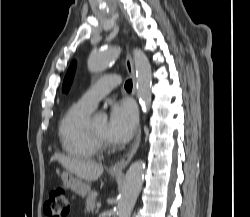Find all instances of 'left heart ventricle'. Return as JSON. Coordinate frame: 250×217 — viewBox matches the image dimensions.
Returning a JSON list of instances; mask_svg holds the SVG:
<instances>
[{
	"label": "left heart ventricle",
	"instance_id": "obj_1",
	"mask_svg": "<svg viewBox=\"0 0 250 217\" xmlns=\"http://www.w3.org/2000/svg\"><path fill=\"white\" fill-rule=\"evenodd\" d=\"M92 127L95 132L108 141L107 137V121L106 119H93L91 120Z\"/></svg>",
	"mask_w": 250,
	"mask_h": 217
}]
</instances>
